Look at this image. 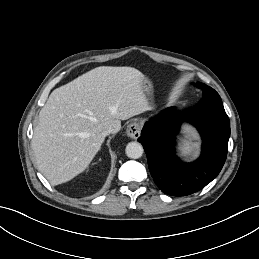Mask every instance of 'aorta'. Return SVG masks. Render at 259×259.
I'll return each mask as SVG.
<instances>
[{"label": "aorta", "instance_id": "aorta-1", "mask_svg": "<svg viewBox=\"0 0 259 259\" xmlns=\"http://www.w3.org/2000/svg\"><path fill=\"white\" fill-rule=\"evenodd\" d=\"M143 147L138 142H130L127 144L125 152L129 158L138 159L143 154Z\"/></svg>", "mask_w": 259, "mask_h": 259}]
</instances>
